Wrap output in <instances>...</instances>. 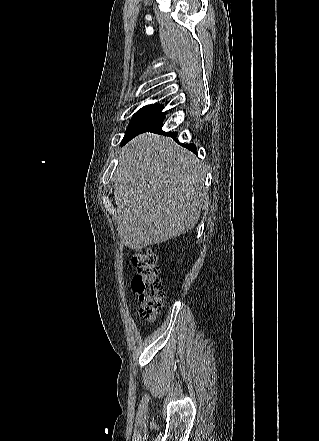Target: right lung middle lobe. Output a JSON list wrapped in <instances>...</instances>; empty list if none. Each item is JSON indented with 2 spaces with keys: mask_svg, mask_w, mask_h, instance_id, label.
<instances>
[{
  "mask_svg": "<svg viewBox=\"0 0 319 441\" xmlns=\"http://www.w3.org/2000/svg\"><path fill=\"white\" fill-rule=\"evenodd\" d=\"M161 111L162 108L157 104L146 105L138 110L130 122L129 129L122 140V145L140 134L146 127L163 116L165 113H162Z\"/></svg>",
  "mask_w": 319,
  "mask_h": 441,
  "instance_id": "dd1d6c3e",
  "label": "right lung middle lobe"
}]
</instances>
